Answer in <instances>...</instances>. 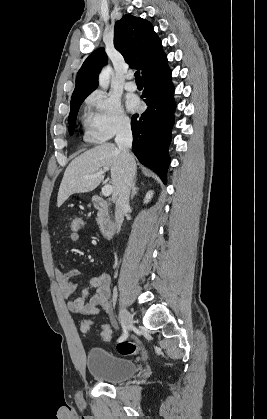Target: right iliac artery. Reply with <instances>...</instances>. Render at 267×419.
<instances>
[{"mask_svg":"<svg viewBox=\"0 0 267 419\" xmlns=\"http://www.w3.org/2000/svg\"><path fill=\"white\" fill-rule=\"evenodd\" d=\"M121 326H122V328H123V335L119 338V340H125L126 338H127V336H128V334H127V331H126V328H125V326L123 325V323L121 322Z\"/></svg>","mask_w":267,"mask_h":419,"instance_id":"82829eb1","label":"right iliac artery"}]
</instances>
